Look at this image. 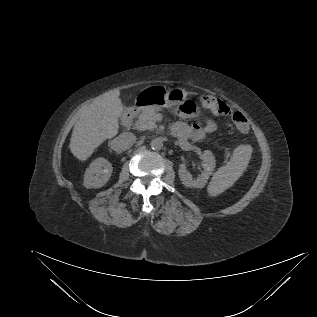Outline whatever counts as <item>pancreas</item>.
I'll use <instances>...</instances> for the list:
<instances>
[{"instance_id": "obj_1", "label": "pancreas", "mask_w": 317, "mask_h": 317, "mask_svg": "<svg viewBox=\"0 0 317 317\" xmlns=\"http://www.w3.org/2000/svg\"><path fill=\"white\" fill-rule=\"evenodd\" d=\"M156 112V108L153 107L142 109L135 122L134 128L140 131L155 129L157 127L154 119Z\"/></svg>"}]
</instances>
